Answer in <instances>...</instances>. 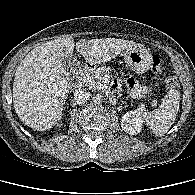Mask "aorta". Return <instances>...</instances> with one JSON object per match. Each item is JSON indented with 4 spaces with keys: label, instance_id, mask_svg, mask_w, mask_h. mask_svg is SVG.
<instances>
[{
    "label": "aorta",
    "instance_id": "obj_1",
    "mask_svg": "<svg viewBox=\"0 0 195 195\" xmlns=\"http://www.w3.org/2000/svg\"><path fill=\"white\" fill-rule=\"evenodd\" d=\"M102 100H103V96H102L101 94H96V95L93 97L94 103L99 104V103L102 102Z\"/></svg>",
    "mask_w": 195,
    "mask_h": 195
}]
</instances>
